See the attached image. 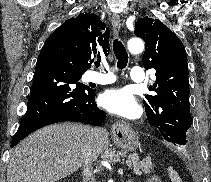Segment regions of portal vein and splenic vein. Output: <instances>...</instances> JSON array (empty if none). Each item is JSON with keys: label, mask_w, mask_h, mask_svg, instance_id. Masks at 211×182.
Returning a JSON list of instances; mask_svg holds the SVG:
<instances>
[{"label": "portal vein and splenic vein", "mask_w": 211, "mask_h": 182, "mask_svg": "<svg viewBox=\"0 0 211 182\" xmlns=\"http://www.w3.org/2000/svg\"><path fill=\"white\" fill-rule=\"evenodd\" d=\"M118 172H119V174H123V169L119 168Z\"/></svg>", "instance_id": "18ae733b"}]
</instances>
